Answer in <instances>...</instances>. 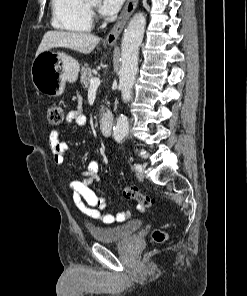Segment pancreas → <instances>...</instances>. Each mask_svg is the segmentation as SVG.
Returning <instances> with one entry per match:
<instances>
[{
	"label": "pancreas",
	"instance_id": "obj_1",
	"mask_svg": "<svg viewBox=\"0 0 247 296\" xmlns=\"http://www.w3.org/2000/svg\"><path fill=\"white\" fill-rule=\"evenodd\" d=\"M93 78V74L91 69L88 67V64H86L81 69V76H80V83L83 85L84 89H88L90 80ZM105 108H101V113H104Z\"/></svg>",
	"mask_w": 247,
	"mask_h": 296
}]
</instances>
